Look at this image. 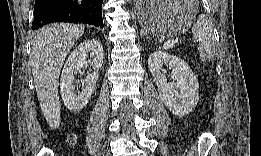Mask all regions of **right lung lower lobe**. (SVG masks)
<instances>
[{
  "instance_id": "right-lung-lower-lobe-1",
  "label": "right lung lower lobe",
  "mask_w": 261,
  "mask_h": 156,
  "mask_svg": "<svg viewBox=\"0 0 261 156\" xmlns=\"http://www.w3.org/2000/svg\"><path fill=\"white\" fill-rule=\"evenodd\" d=\"M103 0H36L32 29L51 22H80L103 28Z\"/></svg>"
}]
</instances>
